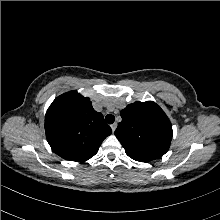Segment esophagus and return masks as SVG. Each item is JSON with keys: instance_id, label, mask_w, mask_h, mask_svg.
I'll list each match as a JSON object with an SVG mask.
<instances>
[{"instance_id": "34e87169", "label": "esophagus", "mask_w": 220, "mask_h": 220, "mask_svg": "<svg viewBox=\"0 0 220 220\" xmlns=\"http://www.w3.org/2000/svg\"><path fill=\"white\" fill-rule=\"evenodd\" d=\"M116 128H117V123H113V124L111 125L112 131L114 132V131L116 130Z\"/></svg>"}]
</instances>
